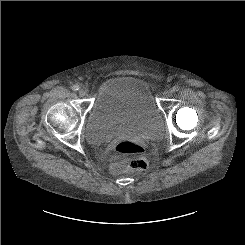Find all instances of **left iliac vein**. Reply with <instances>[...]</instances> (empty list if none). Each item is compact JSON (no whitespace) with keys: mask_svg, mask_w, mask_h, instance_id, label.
<instances>
[{"mask_svg":"<svg viewBox=\"0 0 245 245\" xmlns=\"http://www.w3.org/2000/svg\"><path fill=\"white\" fill-rule=\"evenodd\" d=\"M172 93H173V91L169 89L165 92V96L168 98L172 95Z\"/></svg>","mask_w":245,"mask_h":245,"instance_id":"4c4485c4","label":"left iliac vein"}]
</instances>
